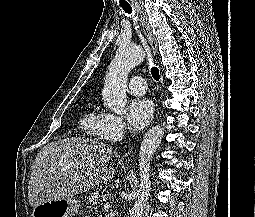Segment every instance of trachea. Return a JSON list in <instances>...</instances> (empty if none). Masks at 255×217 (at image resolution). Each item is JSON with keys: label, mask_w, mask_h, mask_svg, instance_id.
<instances>
[{"label": "trachea", "mask_w": 255, "mask_h": 217, "mask_svg": "<svg viewBox=\"0 0 255 217\" xmlns=\"http://www.w3.org/2000/svg\"><path fill=\"white\" fill-rule=\"evenodd\" d=\"M120 6L123 8V10L126 13L130 14L132 12V8H131L130 4L125 3V4H120ZM151 75L155 81L159 80L160 74H159V70L156 66L151 67Z\"/></svg>", "instance_id": "obj_1"}]
</instances>
